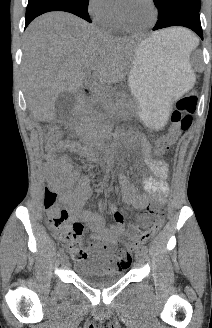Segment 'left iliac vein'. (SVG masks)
Listing matches in <instances>:
<instances>
[{
  "label": "left iliac vein",
  "mask_w": 212,
  "mask_h": 328,
  "mask_svg": "<svg viewBox=\"0 0 212 328\" xmlns=\"http://www.w3.org/2000/svg\"><path fill=\"white\" fill-rule=\"evenodd\" d=\"M145 253L142 250L136 251L135 259L137 264H142L144 261Z\"/></svg>",
  "instance_id": "4c4485c4"
}]
</instances>
